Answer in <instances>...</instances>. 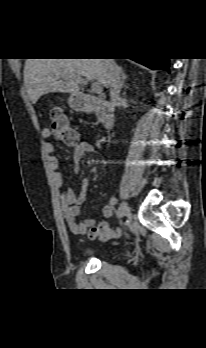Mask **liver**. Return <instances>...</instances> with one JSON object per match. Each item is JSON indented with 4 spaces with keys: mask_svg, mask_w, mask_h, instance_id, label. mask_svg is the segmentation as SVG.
Wrapping results in <instances>:
<instances>
[{
    "mask_svg": "<svg viewBox=\"0 0 206 348\" xmlns=\"http://www.w3.org/2000/svg\"><path fill=\"white\" fill-rule=\"evenodd\" d=\"M81 76L109 87L107 59H27L24 84L30 101L50 92L78 94Z\"/></svg>",
    "mask_w": 206,
    "mask_h": 348,
    "instance_id": "1",
    "label": "liver"
}]
</instances>
